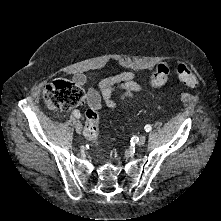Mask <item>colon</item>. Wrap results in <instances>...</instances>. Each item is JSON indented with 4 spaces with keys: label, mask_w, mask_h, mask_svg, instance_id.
<instances>
[{
    "label": "colon",
    "mask_w": 221,
    "mask_h": 221,
    "mask_svg": "<svg viewBox=\"0 0 221 221\" xmlns=\"http://www.w3.org/2000/svg\"><path fill=\"white\" fill-rule=\"evenodd\" d=\"M176 71L180 79L190 86L198 83V78L193 69L186 63H179ZM170 74V65L160 63L150 77V85L154 88L162 87ZM83 90L76 84L67 80H56L46 86L44 100L54 110H66L79 105L84 100ZM85 137L91 142H96L98 136L99 113L95 108L86 111Z\"/></svg>",
    "instance_id": "obj_1"
}]
</instances>
